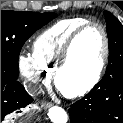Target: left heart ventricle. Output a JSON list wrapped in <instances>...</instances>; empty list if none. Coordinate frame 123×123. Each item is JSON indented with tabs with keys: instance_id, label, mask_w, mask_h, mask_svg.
I'll use <instances>...</instances> for the list:
<instances>
[{
	"instance_id": "1",
	"label": "left heart ventricle",
	"mask_w": 123,
	"mask_h": 123,
	"mask_svg": "<svg viewBox=\"0 0 123 123\" xmlns=\"http://www.w3.org/2000/svg\"><path fill=\"white\" fill-rule=\"evenodd\" d=\"M103 52V39L97 27L88 28L75 42L68 65L60 76L64 89L86 84L95 74Z\"/></svg>"
}]
</instances>
